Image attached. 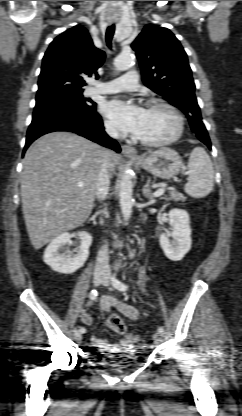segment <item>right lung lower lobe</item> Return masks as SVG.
Segmentation results:
<instances>
[{
    "instance_id": "98d812e1",
    "label": "right lung lower lobe",
    "mask_w": 242,
    "mask_h": 416,
    "mask_svg": "<svg viewBox=\"0 0 242 416\" xmlns=\"http://www.w3.org/2000/svg\"><path fill=\"white\" fill-rule=\"evenodd\" d=\"M54 131H71L116 152L121 151L119 144L104 131L101 116L95 107L81 109L61 103H48L35 107L23 153L38 137Z\"/></svg>"
}]
</instances>
